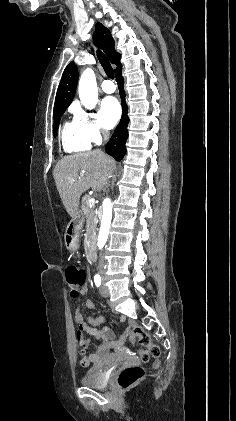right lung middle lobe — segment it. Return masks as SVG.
<instances>
[{
  "label": "right lung middle lobe",
  "instance_id": "obj_1",
  "mask_svg": "<svg viewBox=\"0 0 236 421\" xmlns=\"http://www.w3.org/2000/svg\"><path fill=\"white\" fill-rule=\"evenodd\" d=\"M66 109L67 108H62V109H56V110H54V126H53L54 136L57 135V130H58L59 122H60V117L63 115V113L65 112Z\"/></svg>",
  "mask_w": 236,
  "mask_h": 421
}]
</instances>
